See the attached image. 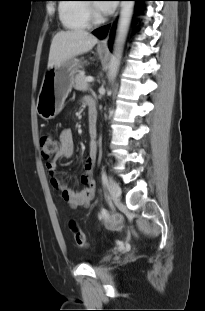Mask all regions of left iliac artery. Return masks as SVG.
I'll list each match as a JSON object with an SVG mask.
<instances>
[{
  "label": "left iliac artery",
  "mask_w": 205,
  "mask_h": 311,
  "mask_svg": "<svg viewBox=\"0 0 205 311\" xmlns=\"http://www.w3.org/2000/svg\"><path fill=\"white\" fill-rule=\"evenodd\" d=\"M102 182H103L104 186L106 187L108 184V178H107V175L105 172H103V174H102Z\"/></svg>",
  "instance_id": "1"
}]
</instances>
